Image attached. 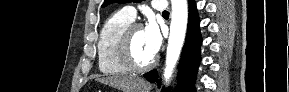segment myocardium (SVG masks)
<instances>
[{
	"instance_id": "f54148a6",
	"label": "myocardium",
	"mask_w": 289,
	"mask_h": 92,
	"mask_svg": "<svg viewBox=\"0 0 289 92\" xmlns=\"http://www.w3.org/2000/svg\"><path fill=\"white\" fill-rule=\"evenodd\" d=\"M138 29H142V24L131 23L121 33L117 42V55L120 62L130 71L144 72L153 68L157 62V58L153 59L146 64H139L134 59L132 53V38Z\"/></svg>"
}]
</instances>
